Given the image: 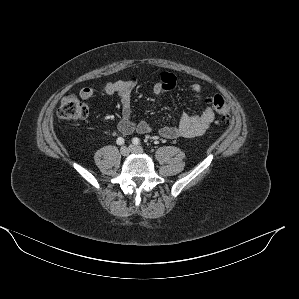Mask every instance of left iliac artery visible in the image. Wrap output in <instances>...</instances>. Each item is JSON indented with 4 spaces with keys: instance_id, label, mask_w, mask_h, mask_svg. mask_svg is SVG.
Returning <instances> with one entry per match:
<instances>
[{
    "instance_id": "obj_1",
    "label": "left iliac artery",
    "mask_w": 299,
    "mask_h": 299,
    "mask_svg": "<svg viewBox=\"0 0 299 299\" xmlns=\"http://www.w3.org/2000/svg\"><path fill=\"white\" fill-rule=\"evenodd\" d=\"M132 143H133L134 145H138V144L140 143L139 138H137V137L133 138V139H132Z\"/></svg>"
}]
</instances>
